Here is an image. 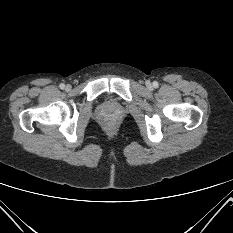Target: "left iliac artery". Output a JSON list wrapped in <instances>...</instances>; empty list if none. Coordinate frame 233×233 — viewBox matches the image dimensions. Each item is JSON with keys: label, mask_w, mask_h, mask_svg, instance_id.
<instances>
[{"label": "left iliac artery", "mask_w": 233, "mask_h": 233, "mask_svg": "<svg viewBox=\"0 0 233 233\" xmlns=\"http://www.w3.org/2000/svg\"><path fill=\"white\" fill-rule=\"evenodd\" d=\"M153 86H154V87H158V82L154 81V82H153Z\"/></svg>", "instance_id": "left-iliac-artery-1"}]
</instances>
